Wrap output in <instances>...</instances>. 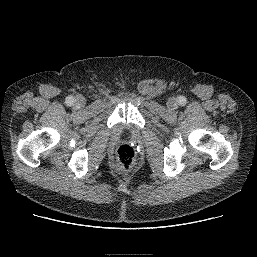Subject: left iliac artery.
Wrapping results in <instances>:
<instances>
[{
	"label": "left iliac artery",
	"mask_w": 257,
	"mask_h": 257,
	"mask_svg": "<svg viewBox=\"0 0 257 257\" xmlns=\"http://www.w3.org/2000/svg\"><path fill=\"white\" fill-rule=\"evenodd\" d=\"M186 98L184 97V96H179L178 97V103L180 104V105H185L186 104Z\"/></svg>",
	"instance_id": "left-iliac-artery-1"
}]
</instances>
